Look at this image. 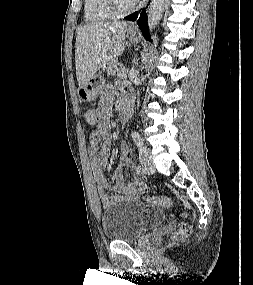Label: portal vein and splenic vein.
<instances>
[{
    "label": "portal vein and splenic vein",
    "instance_id": "obj_1",
    "mask_svg": "<svg viewBox=\"0 0 253 285\" xmlns=\"http://www.w3.org/2000/svg\"><path fill=\"white\" fill-rule=\"evenodd\" d=\"M118 77H120L121 79H126L127 78V75L125 72H121L118 74Z\"/></svg>",
    "mask_w": 253,
    "mask_h": 285
}]
</instances>
